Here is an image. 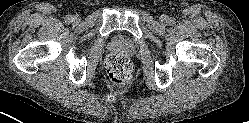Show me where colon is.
<instances>
[{
	"instance_id": "obj_1",
	"label": "colon",
	"mask_w": 249,
	"mask_h": 123,
	"mask_svg": "<svg viewBox=\"0 0 249 123\" xmlns=\"http://www.w3.org/2000/svg\"><path fill=\"white\" fill-rule=\"evenodd\" d=\"M105 71L107 79L112 85L122 87L132 78L133 66L125 54L114 53L106 59Z\"/></svg>"
}]
</instances>
